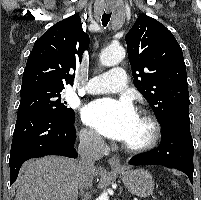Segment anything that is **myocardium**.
I'll return each instance as SVG.
<instances>
[{
	"label": "myocardium",
	"instance_id": "obj_1",
	"mask_svg": "<svg viewBox=\"0 0 201 200\" xmlns=\"http://www.w3.org/2000/svg\"><path fill=\"white\" fill-rule=\"evenodd\" d=\"M137 115L144 118L149 123L151 127V135L148 141L141 145L132 146L123 143V148L130 153H143L153 149L158 144L162 134L160 122L150 111L140 109Z\"/></svg>",
	"mask_w": 201,
	"mask_h": 200
}]
</instances>
